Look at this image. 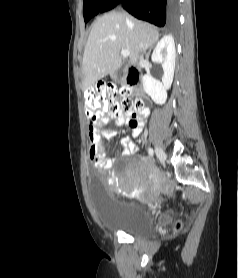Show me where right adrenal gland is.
I'll list each match as a JSON object with an SVG mask.
<instances>
[{
    "label": "right adrenal gland",
    "mask_w": 238,
    "mask_h": 278,
    "mask_svg": "<svg viewBox=\"0 0 238 278\" xmlns=\"http://www.w3.org/2000/svg\"><path fill=\"white\" fill-rule=\"evenodd\" d=\"M150 52H151V48L149 49V51H148V53H147V57H149Z\"/></svg>",
    "instance_id": "2a0ac1e0"
}]
</instances>
